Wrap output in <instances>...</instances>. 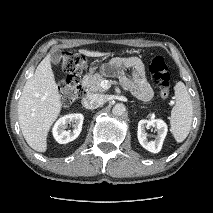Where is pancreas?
Listing matches in <instances>:
<instances>
[{"mask_svg": "<svg viewBox=\"0 0 213 213\" xmlns=\"http://www.w3.org/2000/svg\"><path fill=\"white\" fill-rule=\"evenodd\" d=\"M103 80L104 78L102 75L95 73L85 75L82 82L88 92H103L105 90L101 86Z\"/></svg>", "mask_w": 213, "mask_h": 213, "instance_id": "obj_1", "label": "pancreas"}]
</instances>
